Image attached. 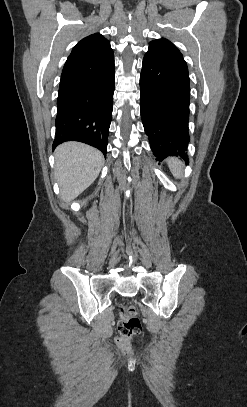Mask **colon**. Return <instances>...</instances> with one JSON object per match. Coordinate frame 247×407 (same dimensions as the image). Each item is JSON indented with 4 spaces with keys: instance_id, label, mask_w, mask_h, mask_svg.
<instances>
[{
    "instance_id": "obj_1",
    "label": "colon",
    "mask_w": 247,
    "mask_h": 407,
    "mask_svg": "<svg viewBox=\"0 0 247 407\" xmlns=\"http://www.w3.org/2000/svg\"><path fill=\"white\" fill-rule=\"evenodd\" d=\"M118 314L119 334L116 338V344L124 354H129L131 352L130 340L133 336L142 331V324L133 306H121L118 310Z\"/></svg>"
}]
</instances>
